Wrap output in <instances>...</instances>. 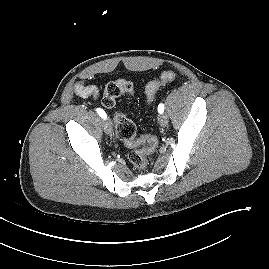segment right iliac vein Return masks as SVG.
<instances>
[{"mask_svg": "<svg viewBox=\"0 0 269 269\" xmlns=\"http://www.w3.org/2000/svg\"><path fill=\"white\" fill-rule=\"evenodd\" d=\"M103 127H104V131L107 134H111L112 133V123L109 119H105L103 122Z\"/></svg>", "mask_w": 269, "mask_h": 269, "instance_id": "right-iliac-vein-1", "label": "right iliac vein"}]
</instances>
